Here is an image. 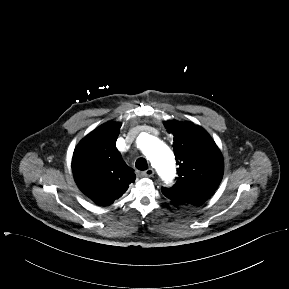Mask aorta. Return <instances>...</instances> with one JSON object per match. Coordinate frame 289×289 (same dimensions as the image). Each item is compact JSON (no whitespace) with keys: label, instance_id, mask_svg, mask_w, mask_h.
I'll use <instances>...</instances> for the list:
<instances>
[{"label":"aorta","instance_id":"obj_1","mask_svg":"<svg viewBox=\"0 0 289 289\" xmlns=\"http://www.w3.org/2000/svg\"><path fill=\"white\" fill-rule=\"evenodd\" d=\"M137 145L161 175L174 176V155L165 143L152 135L142 133L137 139Z\"/></svg>","mask_w":289,"mask_h":289}]
</instances>
